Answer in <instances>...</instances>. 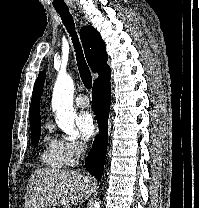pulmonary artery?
I'll return each instance as SVG.
<instances>
[{
	"mask_svg": "<svg viewBox=\"0 0 199 208\" xmlns=\"http://www.w3.org/2000/svg\"><path fill=\"white\" fill-rule=\"evenodd\" d=\"M89 104H90V101H89L88 97L84 94L78 95L75 98V105L77 107L84 108V107H88Z\"/></svg>",
	"mask_w": 199,
	"mask_h": 208,
	"instance_id": "pulmonary-artery-1",
	"label": "pulmonary artery"
}]
</instances>
